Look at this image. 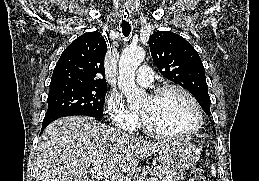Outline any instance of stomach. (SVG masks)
<instances>
[{
  "mask_svg": "<svg viewBox=\"0 0 259 181\" xmlns=\"http://www.w3.org/2000/svg\"><path fill=\"white\" fill-rule=\"evenodd\" d=\"M200 157V150L188 141L168 142L158 154L161 167L166 170L183 172L191 168Z\"/></svg>",
  "mask_w": 259,
  "mask_h": 181,
  "instance_id": "1",
  "label": "stomach"
}]
</instances>
